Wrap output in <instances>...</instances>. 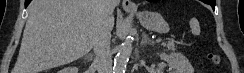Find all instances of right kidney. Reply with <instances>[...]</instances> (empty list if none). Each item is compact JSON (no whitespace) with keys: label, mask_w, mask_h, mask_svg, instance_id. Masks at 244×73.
Masks as SVG:
<instances>
[{"label":"right kidney","mask_w":244,"mask_h":73,"mask_svg":"<svg viewBox=\"0 0 244 73\" xmlns=\"http://www.w3.org/2000/svg\"><path fill=\"white\" fill-rule=\"evenodd\" d=\"M58 73H78L77 67H67L59 71Z\"/></svg>","instance_id":"obj_1"}]
</instances>
